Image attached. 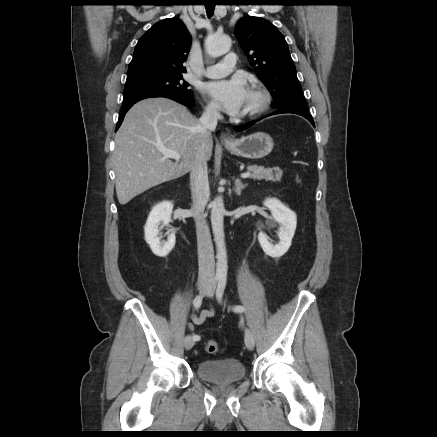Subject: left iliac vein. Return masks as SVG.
I'll return each instance as SVG.
<instances>
[{
	"label": "left iliac vein",
	"mask_w": 437,
	"mask_h": 437,
	"mask_svg": "<svg viewBox=\"0 0 437 437\" xmlns=\"http://www.w3.org/2000/svg\"><path fill=\"white\" fill-rule=\"evenodd\" d=\"M214 294V290L211 288L208 290L207 295L212 297ZM245 345L249 350H253L255 346V341L252 332L249 329L245 331Z\"/></svg>",
	"instance_id": "1"
}]
</instances>
